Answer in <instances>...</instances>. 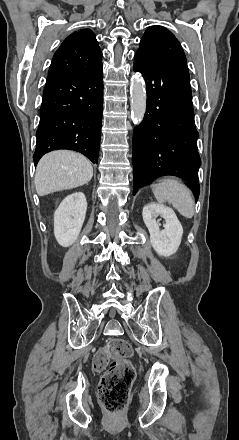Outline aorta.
Listing matches in <instances>:
<instances>
[{"instance_id": "aorta-1", "label": "aorta", "mask_w": 239, "mask_h": 440, "mask_svg": "<svg viewBox=\"0 0 239 440\" xmlns=\"http://www.w3.org/2000/svg\"><path fill=\"white\" fill-rule=\"evenodd\" d=\"M130 94V108L133 120L140 124L145 116L147 100L145 86L141 80H133Z\"/></svg>"}]
</instances>
